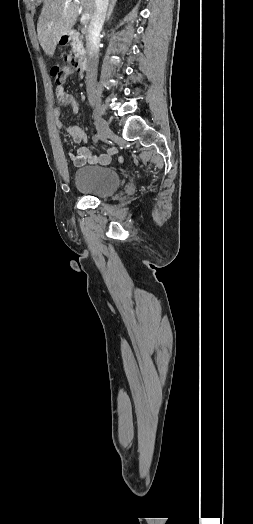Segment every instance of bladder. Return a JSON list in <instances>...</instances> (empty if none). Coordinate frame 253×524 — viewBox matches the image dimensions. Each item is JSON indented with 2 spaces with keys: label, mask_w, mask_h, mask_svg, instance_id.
<instances>
[{
  "label": "bladder",
  "mask_w": 253,
  "mask_h": 524,
  "mask_svg": "<svg viewBox=\"0 0 253 524\" xmlns=\"http://www.w3.org/2000/svg\"><path fill=\"white\" fill-rule=\"evenodd\" d=\"M77 190L98 199L114 195L122 185L121 175L114 169L99 166H86L75 172Z\"/></svg>",
  "instance_id": "obj_1"
}]
</instances>
